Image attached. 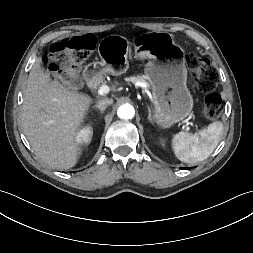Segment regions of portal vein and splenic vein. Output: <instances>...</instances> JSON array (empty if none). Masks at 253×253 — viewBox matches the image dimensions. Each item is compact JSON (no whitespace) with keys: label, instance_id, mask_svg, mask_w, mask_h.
<instances>
[{"label":"portal vein and splenic vein","instance_id":"obj_1","mask_svg":"<svg viewBox=\"0 0 253 253\" xmlns=\"http://www.w3.org/2000/svg\"><path fill=\"white\" fill-rule=\"evenodd\" d=\"M109 90L110 89L107 85H102L97 90V94L103 96V95H106L109 92Z\"/></svg>","mask_w":253,"mask_h":253}]
</instances>
